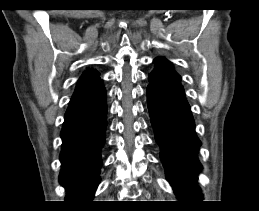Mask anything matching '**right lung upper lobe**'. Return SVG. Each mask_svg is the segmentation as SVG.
I'll use <instances>...</instances> for the list:
<instances>
[{
  "label": "right lung upper lobe",
  "instance_id": "cb5924a9",
  "mask_svg": "<svg viewBox=\"0 0 259 211\" xmlns=\"http://www.w3.org/2000/svg\"><path fill=\"white\" fill-rule=\"evenodd\" d=\"M101 82L99 73L95 70H87L78 80L73 96L84 93Z\"/></svg>",
  "mask_w": 259,
  "mask_h": 211
}]
</instances>
